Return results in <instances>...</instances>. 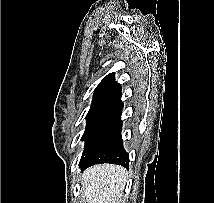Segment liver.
<instances>
[{
	"label": "liver",
	"mask_w": 214,
	"mask_h": 203,
	"mask_svg": "<svg viewBox=\"0 0 214 203\" xmlns=\"http://www.w3.org/2000/svg\"><path fill=\"white\" fill-rule=\"evenodd\" d=\"M126 181L125 168L112 164L92 166L81 178L87 203H119Z\"/></svg>",
	"instance_id": "liver-1"
}]
</instances>
